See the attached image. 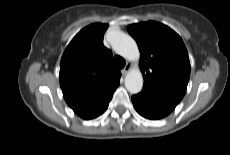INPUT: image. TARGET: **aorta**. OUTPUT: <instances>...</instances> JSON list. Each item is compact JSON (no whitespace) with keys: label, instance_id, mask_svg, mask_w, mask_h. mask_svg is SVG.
<instances>
[{"label":"aorta","instance_id":"obj_1","mask_svg":"<svg viewBox=\"0 0 230 155\" xmlns=\"http://www.w3.org/2000/svg\"><path fill=\"white\" fill-rule=\"evenodd\" d=\"M111 46L120 56L135 61L140 52L135 40L128 34L116 32L111 38ZM125 87L131 94H137L143 87V76L139 69L130 70L125 76Z\"/></svg>","mask_w":230,"mask_h":155}]
</instances>
